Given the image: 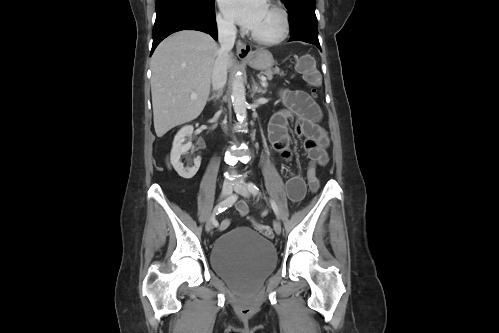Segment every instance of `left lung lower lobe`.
<instances>
[{"mask_svg": "<svg viewBox=\"0 0 499 333\" xmlns=\"http://www.w3.org/2000/svg\"><path fill=\"white\" fill-rule=\"evenodd\" d=\"M291 37L289 41H303L317 46L320 50L318 40V27L315 10L303 8L290 13Z\"/></svg>", "mask_w": 499, "mask_h": 333, "instance_id": "obj_1", "label": "left lung lower lobe"}]
</instances>
